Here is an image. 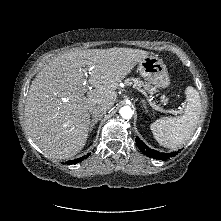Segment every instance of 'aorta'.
Segmentation results:
<instances>
[{"mask_svg":"<svg viewBox=\"0 0 221 221\" xmlns=\"http://www.w3.org/2000/svg\"><path fill=\"white\" fill-rule=\"evenodd\" d=\"M120 115L124 119H130L134 113L133 109L130 106H124L119 111Z\"/></svg>","mask_w":221,"mask_h":221,"instance_id":"obj_1","label":"aorta"}]
</instances>
